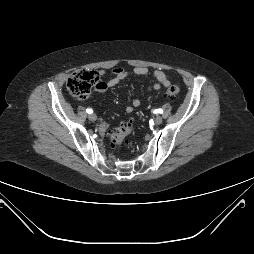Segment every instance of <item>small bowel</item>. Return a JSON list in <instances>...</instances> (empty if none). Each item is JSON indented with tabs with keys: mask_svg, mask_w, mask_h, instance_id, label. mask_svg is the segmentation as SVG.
Here are the masks:
<instances>
[{
	"mask_svg": "<svg viewBox=\"0 0 254 254\" xmlns=\"http://www.w3.org/2000/svg\"><path fill=\"white\" fill-rule=\"evenodd\" d=\"M105 72L103 70L99 71V75L103 76ZM136 76H145L148 74H152L155 78V83L152 86V90H160L162 87H168L171 84L170 76L161 70L150 71L146 67H135L132 71H128L123 68H116L111 71V77L108 81H100V86L96 88V92L99 94L104 93L109 88H112L122 82L124 79L129 77L130 75ZM141 105V101L138 98L133 99L132 106H127L125 111L127 113H131L133 111V107H139ZM101 132L106 134L108 132V128L106 125L101 126Z\"/></svg>",
	"mask_w": 254,
	"mask_h": 254,
	"instance_id": "c3829d8e",
	"label": "small bowel"
}]
</instances>
